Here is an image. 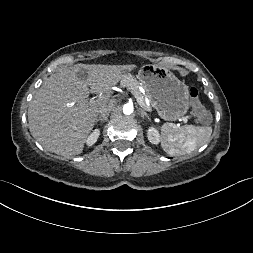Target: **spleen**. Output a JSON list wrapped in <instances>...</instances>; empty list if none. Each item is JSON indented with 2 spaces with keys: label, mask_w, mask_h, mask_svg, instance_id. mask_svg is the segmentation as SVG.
Here are the masks:
<instances>
[{
  "label": "spleen",
  "mask_w": 253,
  "mask_h": 253,
  "mask_svg": "<svg viewBox=\"0 0 253 253\" xmlns=\"http://www.w3.org/2000/svg\"><path fill=\"white\" fill-rule=\"evenodd\" d=\"M162 148L172 156L191 153L206 144L212 134L211 127L185 125L179 127L173 123H166L161 127Z\"/></svg>",
  "instance_id": "3e777b00"
}]
</instances>
